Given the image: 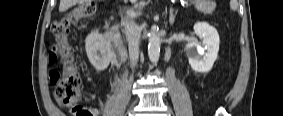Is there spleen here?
I'll use <instances>...</instances> for the list:
<instances>
[{
	"label": "spleen",
	"instance_id": "3e777b00",
	"mask_svg": "<svg viewBox=\"0 0 283 116\" xmlns=\"http://www.w3.org/2000/svg\"><path fill=\"white\" fill-rule=\"evenodd\" d=\"M230 7H231V9H232L233 11H235V10L237 9V7H238V2H237V0H231V2H230Z\"/></svg>",
	"mask_w": 283,
	"mask_h": 116
}]
</instances>
